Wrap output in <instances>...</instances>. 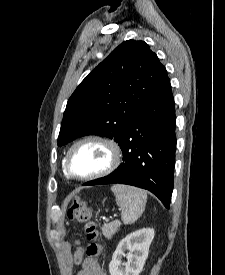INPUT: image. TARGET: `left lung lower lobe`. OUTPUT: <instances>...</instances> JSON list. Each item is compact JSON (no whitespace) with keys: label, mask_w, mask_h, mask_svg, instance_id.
Masks as SVG:
<instances>
[{"label":"left lung lower lobe","mask_w":225,"mask_h":275,"mask_svg":"<svg viewBox=\"0 0 225 275\" xmlns=\"http://www.w3.org/2000/svg\"><path fill=\"white\" fill-rule=\"evenodd\" d=\"M175 106L168 79L127 128L123 162L110 175L84 185L121 183L147 189L169 208L175 167Z\"/></svg>","instance_id":"left-lung-lower-lobe-1"}]
</instances>
